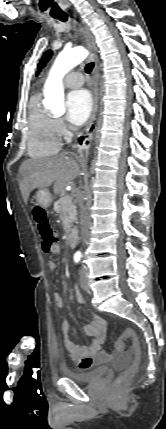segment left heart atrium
Listing matches in <instances>:
<instances>
[{"instance_id": "39dd6f15", "label": "left heart atrium", "mask_w": 166, "mask_h": 429, "mask_svg": "<svg viewBox=\"0 0 166 429\" xmlns=\"http://www.w3.org/2000/svg\"><path fill=\"white\" fill-rule=\"evenodd\" d=\"M92 97L88 90L79 88L69 92L66 99V118L72 125L83 124L92 110Z\"/></svg>"}]
</instances>
